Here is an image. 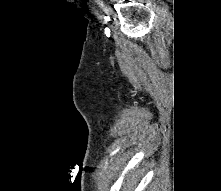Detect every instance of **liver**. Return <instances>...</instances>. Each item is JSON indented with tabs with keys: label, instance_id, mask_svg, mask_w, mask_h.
<instances>
[{
	"label": "liver",
	"instance_id": "liver-1",
	"mask_svg": "<svg viewBox=\"0 0 221 191\" xmlns=\"http://www.w3.org/2000/svg\"><path fill=\"white\" fill-rule=\"evenodd\" d=\"M131 176H132L131 174H129V175L127 176V184H126L127 187L130 186V177H131Z\"/></svg>",
	"mask_w": 221,
	"mask_h": 191
}]
</instances>
